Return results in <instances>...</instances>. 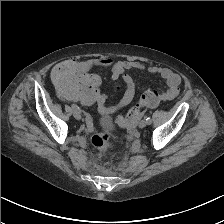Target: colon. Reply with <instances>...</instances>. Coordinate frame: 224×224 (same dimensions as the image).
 <instances>
[{
	"mask_svg": "<svg viewBox=\"0 0 224 224\" xmlns=\"http://www.w3.org/2000/svg\"><path fill=\"white\" fill-rule=\"evenodd\" d=\"M51 76L61 96L66 101L90 104L96 101L99 96V78L78 62L64 61L57 64L53 68ZM160 98L157 92L147 91L126 117H117V123L124 128L132 127L140 111L145 107L155 106ZM91 142L94 147L101 151H107L113 146L112 138L107 132L94 134Z\"/></svg>",
	"mask_w": 224,
	"mask_h": 224,
	"instance_id": "1",
	"label": "colon"
}]
</instances>
